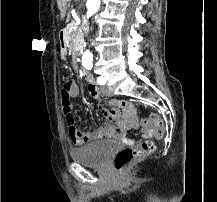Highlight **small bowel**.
<instances>
[{
	"mask_svg": "<svg viewBox=\"0 0 217 202\" xmlns=\"http://www.w3.org/2000/svg\"><path fill=\"white\" fill-rule=\"evenodd\" d=\"M88 92L95 99L101 98L98 86L92 81L88 82ZM70 96L72 98H78L80 96V88L74 81L70 90ZM108 105L112 106V108H109L108 111L103 108L102 110L104 116L111 123L96 130L81 132L75 129V133L70 135L71 141L75 146H82L104 139H115L125 145H134L135 140L128 137L127 133L139 127L142 129L143 137L149 138L154 136L153 128H142L141 122L137 119V113H134L136 104H133L132 101H109Z\"/></svg>",
	"mask_w": 217,
	"mask_h": 202,
	"instance_id": "1",
	"label": "small bowel"
}]
</instances>
